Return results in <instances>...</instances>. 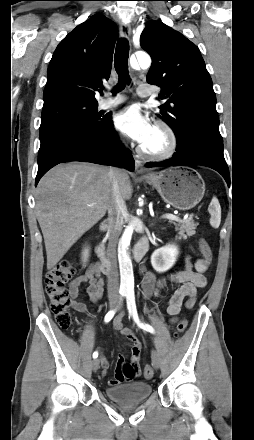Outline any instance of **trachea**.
Segmentation results:
<instances>
[{
	"instance_id": "obj_1",
	"label": "trachea",
	"mask_w": 254,
	"mask_h": 440,
	"mask_svg": "<svg viewBox=\"0 0 254 440\" xmlns=\"http://www.w3.org/2000/svg\"><path fill=\"white\" fill-rule=\"evenodd\" d=\"M128 57H129V44L125 39H121L116 46L114 56V66L119 76V82L114 87L112 93L115 95L117 92L124 89L127 84H130L131 79L128 71Z\"/></svg>"
}]
</instances>
